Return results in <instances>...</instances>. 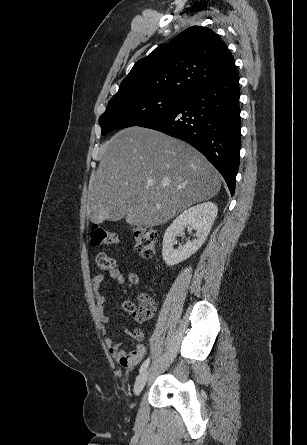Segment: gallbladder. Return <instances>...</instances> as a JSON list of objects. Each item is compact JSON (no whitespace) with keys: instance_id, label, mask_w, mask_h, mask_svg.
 <instances>
[{"instance_id":"obj_1","label":"gallbladder","mask_w":307,"mask_h":445,"mask_svg":"<svg viewBox=\"0 0 307 445\" xmlns=\"http://www.w3.org/2000/svg\"><path fill=\"white\" fill-rule=\"evenodd\" d=\"M122 207H125V204H122ZM119 206H113L111 208V211L113 213H107L106 214V219L107 220H111L112 222H120L121 221V216H125V213H127V210H124V213H120ZM117 213H120V215H116Z\"/></svg>"}]
</instances>
